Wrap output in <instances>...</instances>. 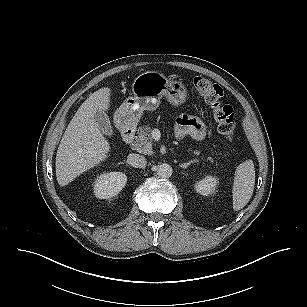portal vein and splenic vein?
Masks as SVG:
<instances>
[{"label": "portal vein and splenic vein", "mask_w": 307, "mask_h": 307, "mask_svg": "<svg viewBox=\"0 0 307 307\" xmlns=\"http://www.w3.org/2000/svg\"><path fill=\"white\" fill-rule=\"evenodd\" d=\"M154 133H155V134H154V136H153V137H154L155 139H158V138L160 137V135H159V134H160V133H159V131L154 132ZM157 133H158V134H157Z\"/></svg>", "instance_id": "portal-vein-and-splenic-vein-1"}]
</instances>
